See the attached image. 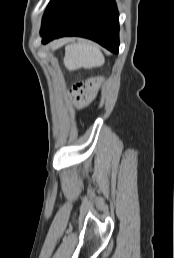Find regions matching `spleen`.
Segmentation results:
<instances>
[{"mask_svg":"<svg viewBox=\"0 0 174 258\" xmlns=\"http://www.w3.org/2000/svg\"><path fill=\"white\" fill-rule=\"evenodd\" d=\"M105 59L99 47L90 42L72 43L65 48V65L71 69L99 67Z\"/></svg>","mask_w":174,"mask_h":258,"instance_id":"spleen-1","label":"spleen"}]
</instances>
